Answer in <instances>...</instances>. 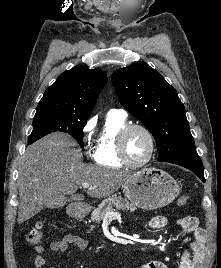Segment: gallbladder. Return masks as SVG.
Returning <instances> with one entry per match:
<instances>
[{
  "label": "gallbladder",
  "instance_id": "gallbladder-1",
  "mask_svg": "<svg viewBox=\"0 0 221 268\" xmlns=\"http://www.w3.org/2000/svg\"><path fill=\"white\" fill-rule=\"evenodd\" d=\"M60 198H62V196L59 195ZM67 202L66 197L62 199H48V202L45 203L46 207H51V209H58L60 207H62L63 205H65Z\"/></svg>",
  "mask_w": 221,
  "mask_h": 268
}]
</instances>
